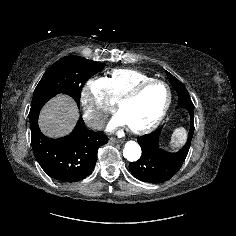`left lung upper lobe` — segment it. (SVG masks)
I'll use <instances>...</instances> for the list:
<instances>
[{
  "mask_svg": "<svg viewBox=\"0 0 236 236\" xmlns=\"http://www.w3.org/2000/svg\"><path fill=\"white\" fill-rule=\"evenodd\" d=\"M166 74H167L171 84L173 85L174 89L177 92L178 100L179 101L191 100L185 86L177 78H175L171 73H169L168 71H166Z\"/></svg>",
  "mask_w": 236,
  "mask_h": 236,
  "instance_id": "1",
  "label": "left lung upper lobe"
}]
</instances>
